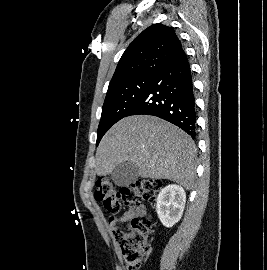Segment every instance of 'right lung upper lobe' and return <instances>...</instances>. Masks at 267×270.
Listing matches in <instances>:
<instances>
[{"instance_id":"obj_1","label":"right lung upper lobe","mask_w":267,"mask_h":270,"mask_svg":"<svg viewBox=\"0 0 267 270\" xmlns=\"http://www.w3.org/2000/svg\"><path fill=\"white\" fill-rule=\"evenodd\" d=\"M181 49V42L170 27L151 25L127 47L108 89L139 76L155 75Z\"/></svg>"}]
</instances>
